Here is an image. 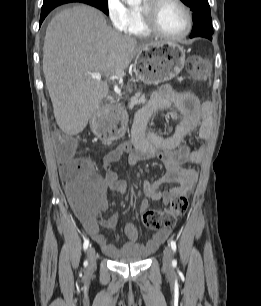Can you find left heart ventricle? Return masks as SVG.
<instances>
[{
	"instance_id": "b2bd125f",
	"label": "left heart ventricle",
	"mask_w": 261,
	"mask_h": 306,
	"mask_svg": "<svg viewBox=\"0 0 261 306\" xmlns=\"http://www.w3.org/2000/svg\"><path fill=\"white\" fill-rule=\"evenodd\" d=\"M156 21L159 28L169 35H180L186 28L184 12L171 1H166L158 7Z\"/></svg>"
}]
</instances>
